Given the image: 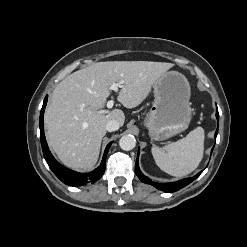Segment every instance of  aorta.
<instances>
[{"instance_id":"obj_1","label":"aorta","mask_w":247,"mask_h":247,"mask_svg":"<svg viewBox=\"0 0 247 247\" xmlns=\"http://www.w3.org/2000/svg\"><path fill=\"white\" fill-rule=\"evenodd\" d=\"M119 146L125 151L132 150L136 146V139L133 135H124L119 140Z\"/></svg>"}]
</instances>
